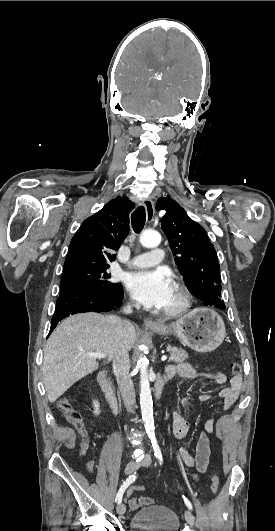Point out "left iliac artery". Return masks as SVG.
<instances>
[{
	"label": "left iliac artery",
	"mask_w": 275,
	"mask_h": 531,
	"mask_svg": "<svg viewBox=\"0 0 275 531\" xmlns=\"http://www.w3.org/2000/svg\"><path fill=\"white\" fill-rule=\"evenodd\" d=\"M151 443H152V447H153V450H154L155 457L158 459L160 464H162L163 463V457H162V453H161L160 447L158 445V442L155 439H153L151 441ZM183 499H184L185 505L190 510H192V504L190 503V501L184 495H183Z\"/></svg>",
	"instance_id": "obj_1"
}]
</instances>
